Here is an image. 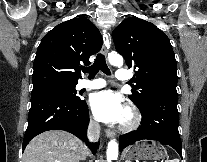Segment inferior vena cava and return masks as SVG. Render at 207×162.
I'll list each match as a JSON object with an SVG mask.
<instances>
[{"label":"inferior vena cava","mask_w":207,"mask_h":162,"mask_svg":"<svg viewBox=\"0 0 207 162\" xmlns=\"http://www.w3.org/2000/svg\"><path fill=\"white\" fill-rule=\"evenodd\" d=\"M87 137L91 142L98 141L100 137V125L95 121H90L87 129Z\"/></svg>","instance_id":"obj_1"}]
</instances>
